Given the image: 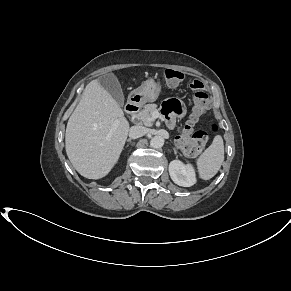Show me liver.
<instances>
[{
	"label": "liver",
	"instance_id": "obj_1",
	"mask_svg": "<svg viewBox=\"0 0 291 291\" xmlns=\"http://www.w3.org/2000/svg\"><path fill=\"white\" fill-rule=\"evenodd\" d=\"M129 128L119 104L92 80L66 127V153L73 167L88 179L105 177L120 157Z\"/></svg>",
	"mask_w": 291,
	"mask_h": 291
}]
</instances>
